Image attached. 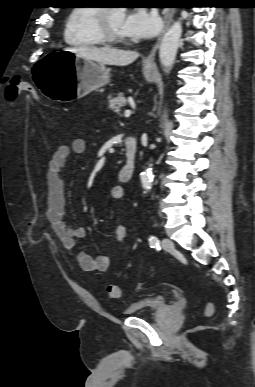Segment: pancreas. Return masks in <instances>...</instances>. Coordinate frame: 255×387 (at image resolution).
<instances>
[{"label": "pancreas", "instance_id": "obj_1", "mask_svg": "<svg viewBox=\"0 0 255 387\" xmlns=\"http://www.w3.org/2000/svg\"><path fill=\"white\" fill-rule=\"evenodd\" d=\"M108 99H109V108L117 114L120 113V109L123 108L127 103L123 93H119L117 97H114V98H111L109 96Z\"/></svg>", "mask_w": 255, "mask_h": 387}]
</instances>
